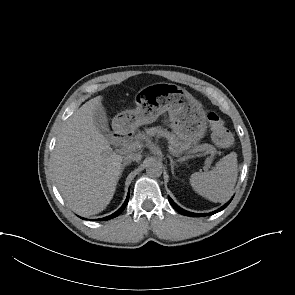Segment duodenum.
I'll return each mask as SVG.
<instances>
[{
	"instance_id": "obj_1",
	"label": "duodenum",
	"mask_w": 295,
	"mask_h": 295,
	"mask_svg": "<svg viewBox=\"0 0 295 295\" xmlns=\"http://www.w3.org/2000/svg\"><path fill=\"white\" fill-rule=\"evenodd\" d=\"M116 143L120 147H125L129 144L132 134L129 132L128 124L125 121L119 122L114 129Z\"/></svg>"
}]
</instances>
